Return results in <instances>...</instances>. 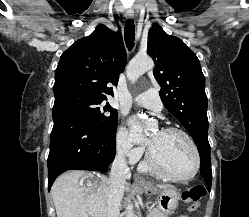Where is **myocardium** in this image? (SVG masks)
<instances>
[{"instance_id": "1", "label": "myocardium", "mask_w": 249, "mask_h": 217, "mask_svg": "<svg viewBox=\"0 0 249 217\" xmlns=\"http://www.w3.org/2000/svg\"><path fill=\"white\" fill-rule=\"evenodd\" d=\"M164 133H177L182 135L190 144L193 153H194V157H195V164H194V168L193 170L184 176H176L173 175L171 173H169L168 171H166L156 160V158L154 157L153 151L151 149V147L148 149L147 151V164L149 166V168L158 176L167 179V180H172V181H188L190 179H192L199 171L200 169V164H201V157H200V152L199 149L197 147V144L195 143L194 139L190 136V134H188L185 130L177 128V127H166L163 128L161 130Z\"/></svg>"}]
</instances>
